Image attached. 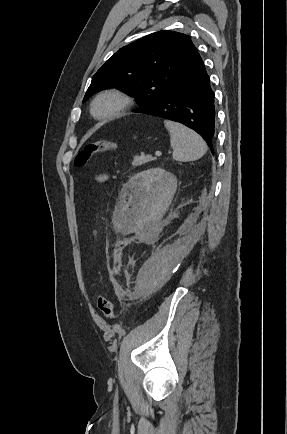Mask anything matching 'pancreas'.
I'll return each mask as SVG.
<instances>
[{
	"instance_id": "obj_1",
	"label": "pancreas",
	"mask_w": 287,
	"mask_h": 434,
	"mask_svg": "<svg viewBox=\"0 0 287 434\" xmlns=\"http://www.w3.org/2000/svg\"><path fill=\"white\" fill-rule=\"evenodd\" d=\"M155 158H153L152 156H150V155H140V156H138V155H136V156H134V158H133V162H132V166L133 167H138V166H141V165H143V164H145V163H148V162H150V161H153Z\"/></svg>"
}]
</instances>
